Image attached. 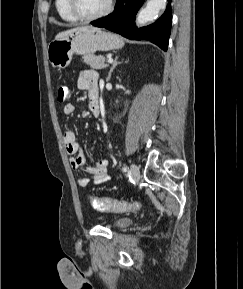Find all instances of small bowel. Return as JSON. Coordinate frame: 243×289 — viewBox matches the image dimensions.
Wrapping results in <instances>:
<instances>
[{"mask_svg":"<svg viewBox=\"0 0 243 289\" xmlns=\"http://www.w3.org/2000/svg\"><path fill=\"white\" fill-rule=\"evenodd\" d=\"M77 85L79 89L88 92L90 99L89 111L94 117H98L100 115V106L98 98L95 97V94L99 93L97 72L93 69L82 70L79 73ZM63 111L65 115H72L75 112V106L71 103L67 104ZM95 127L97 129L99 128L97 125ZM63 140L66 152L70 156L71 167L73 169L86 171L92 175V179L88 177L78 179V185L81 188H85L91 183L94 185L102 184L110 179L108 174V161L106 159L98 160L92 167H84L85 156L80 144L76 140V135L73 130L65 131Z\"/></svg>","mask_w":243,"mask_h":289,"instance_id":"small-bowel-1","label":"small bowel"}]
</instances>
